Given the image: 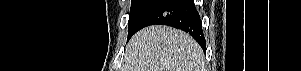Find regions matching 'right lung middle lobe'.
Masks as SVG:
<instances>
[{
	"instance_id": "1",
	"label": "right lung middle lobe",
	"mask_w": 301,
	"mask_h": 71,
	"mask_svg": "<svg viewBox=\"0 0 301 71\" xmlns=\"http://www.w3.org/2000/svg\"><path fill=\"white\" fill-rule=\"evenodd\" d=\"M158 0H132L129 13L128 38L135 32L145 14Z\"/></svg>"
}]
</instances>
